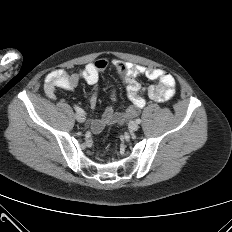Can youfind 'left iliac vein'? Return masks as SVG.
Returning <instances> with one entry per match:
<instances>
[{
	"label": "left iliac vein",
	"mask_w": 232,
	"mask_h": 232,
	"mask_svg": "<svg viewBox=\"0 0 232 232\" xmlns=\"http://www.w3.org/2000/svg\"><path fill=\"white\" fill-rule=\"evenodd\" d=\"M138 128H139V125H138L137 122L131 121V122L129 123V129H130V130L136 131Z\"/></svg>",
	"instance_id": "1"
}]
</instances>
